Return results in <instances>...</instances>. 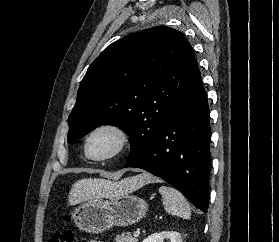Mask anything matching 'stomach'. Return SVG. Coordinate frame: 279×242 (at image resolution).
Segmentation results:
<instances>
[{"label":"stomach","mask_w":279,"mask_h":242,"mask_svg":"<svg viewBox=\"0 0 279 242\" xmlns=\"http://www.w3.org/2000/svg\"><path fill=\"white\" fill-rule=\"evenodd\" d=\"M103 200L91 198L72 212L75 225L92 234L102 233L114 226L125 227L139 222L148 211L147 202L130 194L119 185Z\"/></svg>","instance_id":"stomach-1"}]
</instances>
